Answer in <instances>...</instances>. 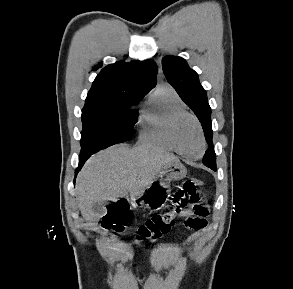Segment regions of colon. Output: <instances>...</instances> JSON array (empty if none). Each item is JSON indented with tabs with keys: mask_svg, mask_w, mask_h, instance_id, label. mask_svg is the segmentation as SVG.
<instances>
[{
	"mask_svg": "<svg viewBox=\"0 0 293 289\" xmlns=\"http://www.w3.org/2000/svg\"><path fill=\"white\" fill-rule=\"evenodd\" d=\"M203 183L196 179H187L174 193L168 210L157 214L142 223L134 238L141 240H154L169 233L175 224V217L185 209H191L196 218L185 220V225L191 229H198V218L205 219L209 214L208 206L203 202L200 187ZM129 220L128 208L123 202L111 205L110 211L103 219V228L120 232Z\"/></svg>",
	"mask_w": 293,
	"mask_h": 289,
	"instance_id": "1",
	"label": "colon"
}]
</instances>
